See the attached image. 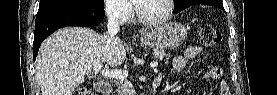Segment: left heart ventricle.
Segmentation results:
<instances>
[{
    "instance_id": "obj_1",
    "label": "left heart ventricle",
    "mask_w": 277,
    "mask_h": 95,
    "mask_svg": "<svg viewBox=\"0 0 277 95\" xmlns=\"http://www.w3.org/2000/svg\"><path fill=\"white\" fill-rule=\"evenodd\" d=\"M138 11L142 17L159 18L166 14L167 4L165 0H141L138 2Z\"/></svg>"
}]
</instances>
